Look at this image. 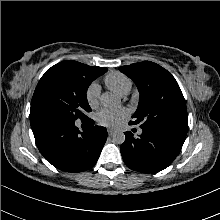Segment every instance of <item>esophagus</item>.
Wrapping results in <instances>:
<instances>
[{"instance_id": "34e87169", "label": "esophagus", "mask_w": 220, "mask_h": 220, "mask_svg": "<svg viewBox=\"0 0 220 220\" xmlns=\"http://www.w3.org/2000/svg\"><path fill=\"white\" fill-rule=\"evenodd\" d=\"M115 133V130H113V129H108V134L111 136V135H113Z\"/></svg>"}]
</instances>
